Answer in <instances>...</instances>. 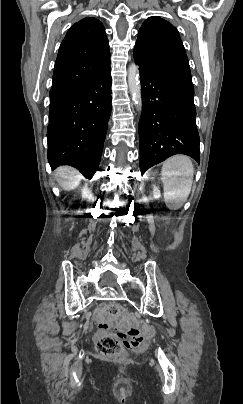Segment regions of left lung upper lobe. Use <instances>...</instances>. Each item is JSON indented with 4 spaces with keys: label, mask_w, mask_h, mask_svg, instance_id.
<instances>
[{
    "label": "left lung upper lobe",
    "mask_w": 243,
    "mask_h": 404,
    "mask_svg": "<svg viewBox=\"0 0 243 404\" xmlns=\"http://www.w3.org/2000/svg\"><path fill=\"white\" fill-rule=\"evenodd\" d=\"M135 61L149 69L191 78L188 58L177 29L153 16L142 24L133 53Z\"/></svg>",
    "instance_id": "obj_1"
}]
</instances>
